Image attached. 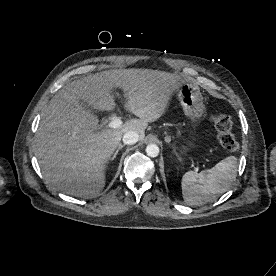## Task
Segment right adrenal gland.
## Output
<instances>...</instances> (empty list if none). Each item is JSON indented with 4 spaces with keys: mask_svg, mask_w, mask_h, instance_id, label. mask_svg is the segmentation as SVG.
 <instances>
[{
    "mask_svg": "<svg viewBox=\"0 0 276 276\" xmlns=\"http://www.w3.org/2000/svg\"><path fill=\"white\" fill-rule=\"evenodd\" d=\"M124 147V145L119 144L117 150L115 151L114 155L112 156L111 160H114L119 152L120 149H122Z\"/></svg>",
    "mask_w": 276,
    "mask_h": 276,
    "instance_id": "2a0ac1e0",
    "label": "right adrenal gland"
}]
</instances>
